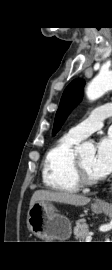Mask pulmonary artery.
Returning <instances> with one entry per match:
<instances>
[{
  "instance_id": "pulmonary-artery-1",
  "label": "pulmonary artery",
  "mask_w": 112,
  "mask_h": 270,
  "mask_svg": "<svg viewBox=\"0 0 112 270\" xmlns=\"http://www.w3.org/2000/svg\"><path fill=\"white\" fill-rule=\"evenodd\" d=\"M112 116V105H103L96 108L90 116L72 127L68 134L75 139L82 140L103 126V121Z\"/></svg>"
}]
</instances>
